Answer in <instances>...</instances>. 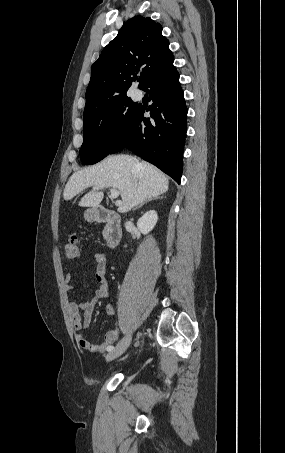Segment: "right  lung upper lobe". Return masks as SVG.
<instances>
[{
	"instance_id": "cb5924a9",
	"label": "right lung upper lobe",
	"mask_w": 285,
	"mask_h": 453,
	"mask_svg": "<svg viewBox=\"0 0 285 453\" xmlns=\"http://www.w3.org/2000/svg\"><path fill=\"white\" fill-rule=\"evenodd\" d=\"M173 61L161 24L150 17L134 16L92 65L84 114L125 96L140 69L138 87L143 89L152 77L171 68Z\"/></svg>"
}]
</instances>
